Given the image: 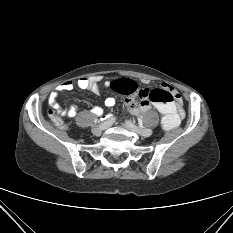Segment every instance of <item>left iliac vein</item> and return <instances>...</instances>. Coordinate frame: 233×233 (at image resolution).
<instances>
[{"label":"left iliac vein","instance_id":"4c4485c4","mask_svg":"<svg viewBox=\"0 0 233 233\" xmlns=\"http://www.w3.org/2000/svg\"><path fill=\"white\" fill-rule=\"evenodd\" d=\"M123 126H124L127 130H129V131L134 132V133H136V134H138V135H140V136H143L142 133L140 132L141 129H139L138 127H136V126H135L134 124H132L130 121H126V122L123 124ZM149 130H150V129H149Z\"/></svg>","mask_w":233,"mask_h":233}]
</instances>
